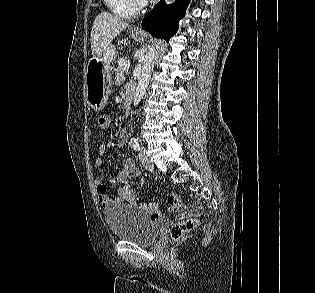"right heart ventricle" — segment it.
<instances>
[{
    "label": "right heart ventricle",
    "instance_id": "1",
    "mask_svg": "<svg viewBox=\"0 0 315 293\" xmlns=\"http://www.w3.org/2000/svg\"><path fill=\"white\" fill-rule=\"evenodd\" d=\"M107 9L116 17L129 19L136 13L132 0H103Z\"/></svg>",
    "mask_w": 315,
    "mask_h": 293
}]
</instances>
